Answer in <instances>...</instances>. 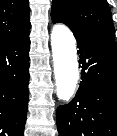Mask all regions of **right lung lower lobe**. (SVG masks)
<instances>
[{
	"label": "right lung lower lobe",
	"instance_id": "98d812e1",
	"mask_svg": "<svg viewBox=\"0 0 117 136\" xmlns=\"http://www.w3.org/2000/svg\"><path fill=\"white\" fill-rule=\"evenodd\" d=\"M30 28L0 42V136H23L27 117Z\"/></svg>",
	"mask_w": 117,
	"mask_h": 136
}]
</instances>
